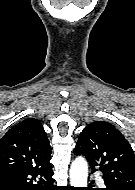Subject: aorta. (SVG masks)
Returning a JSON list of instances; mask_svg holds the SVG:
<instances>
[{"mask_svg":"<svg viewBox=\"0 0 135 190\" xmlns=\"http://www.w3.org/2000/svg\"><path fill=\"white\" fill-rule=\"evenodd\" d=\"M88 164L83 157L76 158L70 167V182L73 187H87Z\"/></svg>","mask_w":135,"mask_h":190,"instance_id":"762f6f07","label":"aorta"}]
</instances>
